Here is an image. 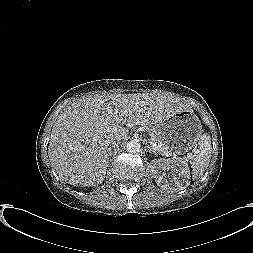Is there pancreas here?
<instances>
[{
	"mask_svg": "<svg viewBox=\"0 0 253 253\" xmlns=\"http://www.w3.org/2000/svg\"><path fill=\"white\" fill-rule=\"evenodd\" d=\"M148 131L150 133L151 139L155 141L157 144H161V148L156 151L164 156H166L167 153L172 155V151L164 144L157 130L155 128H148Z\"/></svg>",
	"mask_w": 253,
	"mask_h": 253,
	"instance_id": "1",
	"label": "pancreas"
}]
</instances>
